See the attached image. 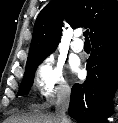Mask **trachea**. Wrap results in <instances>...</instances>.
I'll use <instances>...</instances> for the list:
<instances>
[{"instance_id": "1", "label": "trachea", "mask_w": 118, "mask_h": 123, "mask_svg": "<svg viewBox=\"0 0 118 123\" xmlns=\"http://www.w3.org/2000/svg\"><path fill=\"white\" fill-rule=\"evenodd\" d=\"M88 35H89V31L86 30V31L83 33V36L85 37V42H90Z\"/></svg>"}]
</instances>
